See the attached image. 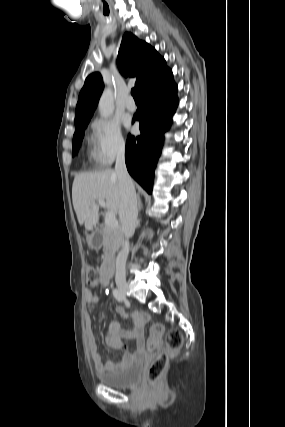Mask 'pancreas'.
Returning a JSON list of instances; mask_svg holds the SVG:
<instances>
[{"label": "pancreas", "mask_w": 285, "mask_h": 427, "mask_svg": "<svg viewBox=\"0 0 285 427\" xmlns=\"http://www.w3.org/2000/svg\"><path fill=\"white\" fill-rule=\"evenodd\" d=\"M103 244L107 249V253H113L116 251L121 243V229L119 226L110 227L105 226L103 228Z\"/></svg>", "instance_id": "1"}]
</instances>
